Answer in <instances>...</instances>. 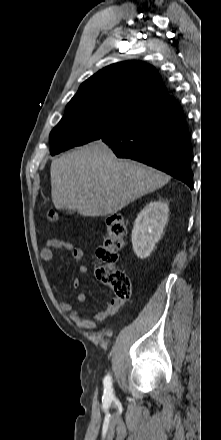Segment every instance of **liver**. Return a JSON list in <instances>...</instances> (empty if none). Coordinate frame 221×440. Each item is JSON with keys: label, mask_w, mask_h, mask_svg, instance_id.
<instances>
[{"label": "liver", "mask_w": 221, "mask_h": 440, "mask_svg": "<svg viewBox=\"0 0 221 440\" xmlns=\"http://www.w3.org/2000/svg\"><path fill=\"white\" fill-rule=\"evenodd\" d=\"M50 175L55 207L84 217L116 213L170 180L154 168L117 159L100 140L53 160Z\"/></svg>", "instance_id": "1"}]
</instances>
